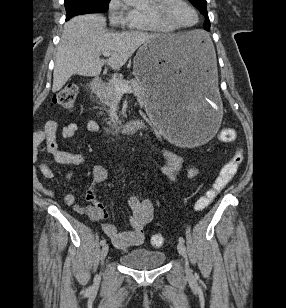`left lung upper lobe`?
<instances>
[{
  "instance_id": "obj_1",
  "label": "left lung upper lobe",
  "mask_w": 286,
  "mask_h": 308,
  "mask_svg": "<svg viewBox=\"0 0 286 308\" xmlns=\"http://www.w3.org/2000/svg\"><path fill=\"white\" fill-rule=\"evenodd\" d=\"M195 7L199 9V11L206 17L205 23L203 24V27L209 31L210 29V21L208 18V13H207V2L206 0H189Z\"/></svg>"
}]
</instances>
